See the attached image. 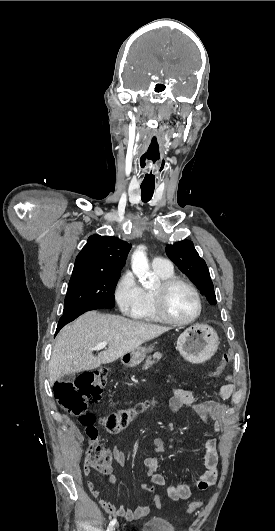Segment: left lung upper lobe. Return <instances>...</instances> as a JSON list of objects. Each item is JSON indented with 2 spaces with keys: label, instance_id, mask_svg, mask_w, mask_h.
Returning <instances> with one entry per match:
<instances>
[{
  "label": "left lung upper lobe",
  "instance_id": "5c2ea615",
  "mask_svg": "<svg viewBox=\"0 0 275 531\" xmlns=\"http://www.w3.org/2000/svg\"><path fill=\"white\" fill-rule=\"evenodd\" d=\"M168 257L200 289L211 305L216 304V296L210 273L205 261L199 256L189 240L166 246Z\"/></svg>",
  "mask_w": 275,
  "mask_h": 531
}]
</instances>
